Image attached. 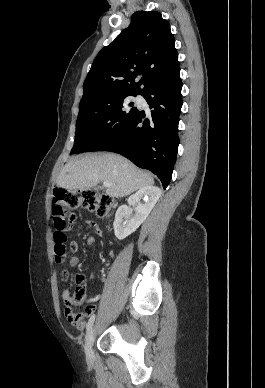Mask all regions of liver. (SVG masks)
<instances>
[{
    "label": "liver",
    "mask_w": 265,
    "mask_h": 388,
    "mask_svg": "<svg viewBox=\"0 0 265 388\" xmlns=\"http://www.w3.org/2000/svg\"><path fill=\"white\" fill-rule=\"evenodd\" d=\"M99 182H111L114 186L106 188V196L124 198L132 192L153 186L154 178L148 172L138 170L132 162L117 156V154H102V156H83L73 158L61 170L56 186L66 190H88Z\"/></svg>",
    "instance_id": "obj_1"
}]
</instances>
